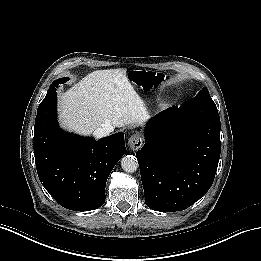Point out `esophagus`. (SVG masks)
Returning <instances> with one entry per match:
<instances>
[{"mask_svg": "<svg viewBox=\"0 0 261 261\" xmlns=\"http://www.w3.org/2000/svg\"><path fill=\"white\" fill-rule=\"evenodd\" d=\"M143 142V137L139 133H136L129 138L128 145L131 148V150L136 151L142 147Z\"/></svg>", "mask_w": 261, "mask_h": 261, "instance_id": "1", "label": "esophagus"}]
</instances>
